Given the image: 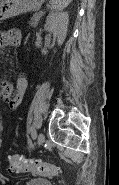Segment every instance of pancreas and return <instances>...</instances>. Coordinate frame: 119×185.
I'll return each mask as SVG.
<instances>
[{"mask_svg":"<svg viewBox=\"0 0 119 185\" xmlns=\"http://www.w3.org/2000/svg\"><path fill=\"white\" fill-rule=\"evenodd\" d=\"M42 17V15L40 13H35L31 19L30 25L32 27H35L38 25V21L40 20V18Z\"/></svg>","mask_w":119,"mask_h":185,"instance_id":"pancreas-1","label":"pancreas"}]
</instances>
